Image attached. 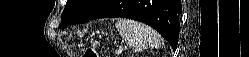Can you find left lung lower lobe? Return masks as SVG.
Segmentation results:
<instances>
[{"instance_id":"0a47b994","label":"left lung lower lobe","mask_w":249,"mask_h":57,"mask_svg":"<svg viewBox=\"0 0 249 57\" xmlns=\"http://www.w3.org/2000/svg\"><path fill=\"white\" fill-rule=\"evenodd\" d=\"M180 0H113L98 18H130L157 30L176 49L179 36Z\"/></svg>"}]
</instances>
